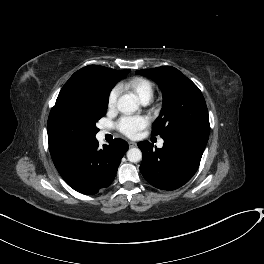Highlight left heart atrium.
Here are the masks:
<instances>
[{
    "label": "left heart atrium",
    "instance_id": "obj_1",
    "mask_svg": "<svg viewBox=\"0 0 264 264\" xmlns=\"http://www.w3.org/2000/svg\"><path fill=\"white\" fill-rule=\"evenodd\" d=\"M149 124L144 116H124L117 122L118 130L128 137H136Z\"/></svg>",
    "mask_w": 264,
    "mask_h": 264
}]
</instances>
